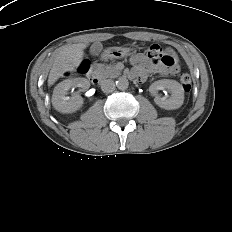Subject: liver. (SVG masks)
Wrapping results in <instances>:
<instances>
[{
    "label": "liver",
    "mask_w": 232,
    "mask_h": 232,
    "mask_svg": "<svg viewBox=\"0 0 232 232\" xmlns=\"http://www.w3.org/2000/svg\"><path fill=\"white\" fill-rule=\"evenodd\" d=\"M87 44L65 45L57 54L48 76V86L53 85L66 72L74 71L81 63Z\"/></svg>",
    "instance_id": "1"
}]
</instances>
